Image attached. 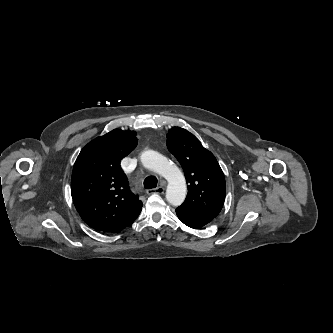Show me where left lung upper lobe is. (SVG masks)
<instances>
[{"instance_id":"1","label":"left lung upper lobe","mask_w":333,"mask_h":333,"mask_svg":"<svg viewBox=\"0 0 333 333\" xmlns=\"http://www.w3.org/2000/svg\"><path fill=\"white\" fill-rule=\"evenodd\" d=\"M167 147L181 164L188 183L187 197L179 208L215 218L226 194L224 174L215 156L180 127L169 130Z\"/></svg>"}]
</instances>
